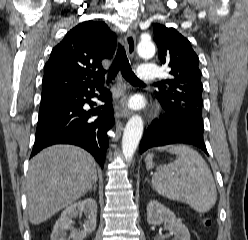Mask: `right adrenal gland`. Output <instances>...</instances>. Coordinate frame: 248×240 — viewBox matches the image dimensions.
Returning a JSON list of instances; mask_svg holds the SVG:
<instances>
[{"label":"right adrenal gland","mask_w":248,"mask_h":240,"mask_svg":"<svg viewBox=\"0 0 248 240\" xmlns=\"http://www.w3.org/2000/svg\"><path fill=\"white\" fill-rule=\"evenodd\" d=\"M92 191L96 192L97 191V181H95L93 187H92Z\"/></svg>","instance_id":"obj_1"}]
</instances>
